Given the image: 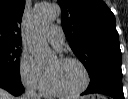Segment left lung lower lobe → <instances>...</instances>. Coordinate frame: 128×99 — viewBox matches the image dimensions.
Masks as SVG:
<instances>
[{"label": "left lung lower lobe", "instance_id": "1", "mask_svg": "<svg viewBox=\"0 0 128 99\" xmlns=\"http://www.w3.org/2000/svg\"><path fill=\"white\" fill-rule=\"evenodd\" d=\"M89 76L90 84L82 95L101 93L114 99H124L120 63L99 64Z\"/></svg>", "mask_w": 128, "mask_h": 99}]
</instances>
